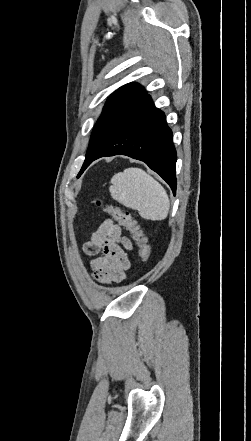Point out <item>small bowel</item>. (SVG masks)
Returning <instances> with one entry per match:
<instances>
[{"label": "small bowel", "instance_id": "small-bowel-1", "mask_svg": "<svg viewBox=\"0 0 251 441\" xmlns=\"http://www.w3.org/2000/svg\"><path fill=\"white\" fill-rule=\"evenodd\" d=\"M84 253L95 256L90 262L93 278L102 284L121 282L131 266L128 252L131 241L123 236L120 226L105 220L83 246Z\"/></svg>", "mask_w": 251, "mask_h": 441}]
</instances>
